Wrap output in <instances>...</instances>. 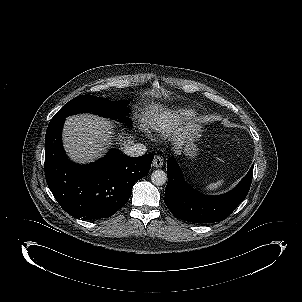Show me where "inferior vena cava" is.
<instances>
[{
  "mask_svg": "<svg viewBox=\"0 0 302 302\" xmlns=\"http://www.w3.org/2000/svg\"><path fill=\"white\" fill-rule=\"evenodd\" d=\"M146 151H147L146 146L141 143L125 146L123 150L124 154L130 157L142 156L146 153Z\"/></svg>",
  "mask_w": 302,
  "mask_h": 302,
  "instance_id": "1",
  "label": "inferior vena cava"
}]
</instances>
